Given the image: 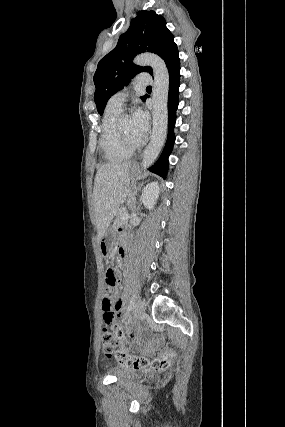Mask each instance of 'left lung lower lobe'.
<instances>
[{"label": "left lung lower lobe", "instance_id": "obj_1", "mask_svg": "<svg viewBox=\"0 0 285 427\" xmlns=\"http://www.w3.org/2000/svg\"><path fill=\"white\" fill-rule=\"evenodd\" d=\"M169 71V95H168V119L169 128L167 142L158 161L151 167V171L166 178L168 172V157L171 154L175 142L174 127L176 121V110L178 108V94L180 81V59L177 54L167 66Z\"/></svg>", "mask_w": 285, "mask_h": 427}]
</instances>
